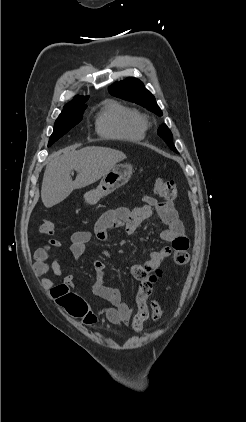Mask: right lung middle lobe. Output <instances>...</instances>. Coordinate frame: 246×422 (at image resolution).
<instances>
[{
  "instance_id": "obj_1",
  "label": "right lung middle lobe",
  "mask_w": 246,
  "mask_h": 422,
  "mask_svg": "<svg viewBox=\"0 0 246 422\" xmlns=\"http://www.w3.org/2000/svg\"><path fill=\"white\" fill-rule=\"evenodd\" d=\"M86 106L65 107L57 118L48 146L53 144L82 120Z\"/></svg>"
}]
</instances>
